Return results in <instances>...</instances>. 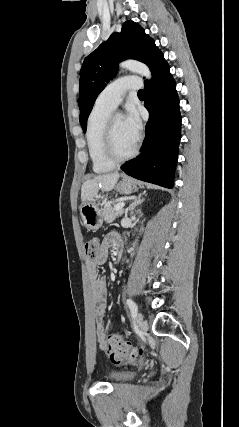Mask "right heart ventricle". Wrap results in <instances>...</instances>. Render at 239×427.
Returning a JSON list of instances; mask_svg holds the SVG:
<instances>
[{
	"label": "right heart ventricle",
	"mask_w": 239,
	"mask_h": 427,
	"mask_svg": "<svg viewBox=\"0 0 239 427\" xmlns=\"http://www.w3.org/2000/svg\"><path fill=\"white\" fill-rule=\"evenodd\" d=\"M111 110L94 106L87 121L86 142L92 168L97 173L110 171L114 164L109 162L103 154V135L106 122Z\"/></svg>",
	"instance_id": "1"
}]
</instances>
